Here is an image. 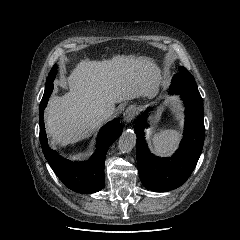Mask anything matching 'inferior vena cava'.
<instances>
[{
    "label": "inferior vena cava",
    "instance_id": "1",
    "mask_svg": "<svg viewBox=\"0 0 240 240\" xmlns=\"http://www.w3.org/2000/svg\"><path fill=\"white\" fill-rule=\"evenodd\" d=\"M112 114H113L112 110L105 106H97L94 109V116L100 122L108 119L109 117H111Z\"/></svg>",
    "mask_w": 240,
    "mask_h": 240
}]
</instances>
